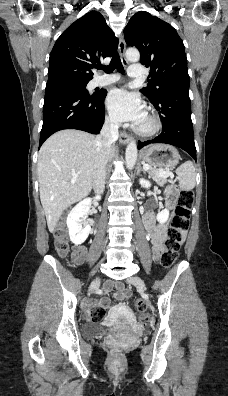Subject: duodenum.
<instances>
[{"instance_id": "obj_1", "label": "duodenum", "mask_w": 228, "mask_h": 396, "mask_svg": "<svg viewBox=\"0 0 228 396\" xmlns=\"http://www.w3.org/2000/svg\"><path fill=\"white\" fill-rule=\"evenodd\" d=\"M145 224L149 235L152 237L154 235V232L158 229V226L149 219L145 220Z\"/></svg>"}]
</instances>
